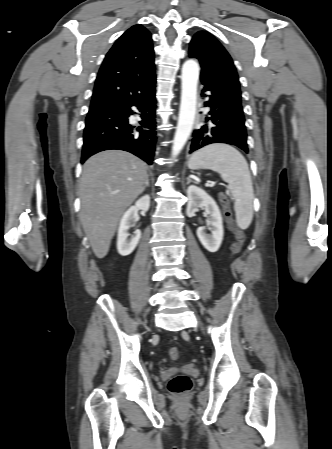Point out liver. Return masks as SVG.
Segmentation results:
<instances>
[{
  "label": "liver",
  "instance_id": "obj_1",
  "mask_svg": "<svg viewBox=\"0 0 332 449\" xmlns=\"http://www.w3.org/2000/svg\"><path fill=\"white\" fill-rule=\"evenodd\" d=\"M146 180L145 163L125 151H103L85 162L80 219L97 258L107 255L122 214L142 193Z\"/></svg>",
  "mask_w": 332,
  "mask_h": 449
}]
</instances>
